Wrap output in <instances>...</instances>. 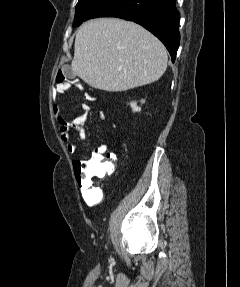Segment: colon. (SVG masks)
Returning <instances> with one entry per match:
<instances>
[{
  "label": "colon",
  "instance_id": "obj_1",
  "mask_svg": "<svg viewBox=\"0 0 240 287\" xmlns=\"http://www.w3.org/2000/svg\"><path fill=\"white\" fill-rule=\"evenodd\" d=\"M66 76L62 70H59L56 75V83L52 89L53 106L59 101L63 94L64 88L68 85ZM115 165V156L109 155L97 160L90 161H75L74 171L78 179L80 188L83 194L92 192L93 184L100 178H103L110 173Z\"/></svg>",
  "mask_w": 240,
  "mask_h": 287
}]
</instances>
